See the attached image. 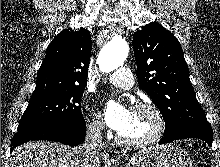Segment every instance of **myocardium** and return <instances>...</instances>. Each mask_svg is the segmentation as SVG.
Wrapping results in <instances>:
<instances>
[{"mask_svg":"<svg viewBox=\"0 0 220 167\" xmlns=\"http://www.w3.org/2000/svg\"><path fill=\"white\" fill-rule=\"evenodd\" d=\"M134 109L150 112L156 121L155 130L149 137L141 140H128L118 133L116 136L117 142L121 145L132 148L145 147L157 143L164 135L166 129V121L162 111L152 103H138L134 106Z\"/></svg>","mask_w":220,"mask_h":167,"instance_id":"1","label":"myocardium"}]
</instances>
